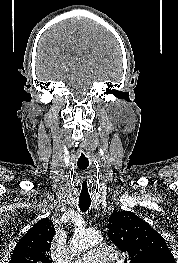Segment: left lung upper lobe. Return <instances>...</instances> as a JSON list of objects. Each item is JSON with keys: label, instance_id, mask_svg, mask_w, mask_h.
I'll list each match as a JSON object with an SVG mask.
<instances>
[{"label": "left lung upper lobe", "instance_id": "5c2ea615", "mask_svg": "<svg viewBox=\"0 0 178 263\" xmlns=\"http://www.w3.org/2000/svg\"><path fill=\"white\" fill-rule=\"evenodd\" d=\"M108 227L109 239L129 254L124 263H175L164 238L134 213H113Z\"/></svg>", "mask_w": 178, "mask_h": 263}]
</instances>
